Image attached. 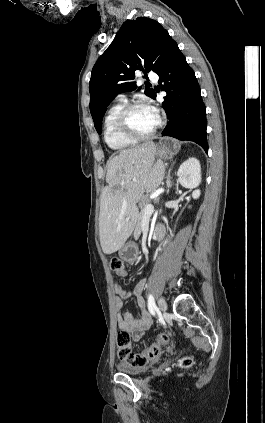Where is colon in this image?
Instances as JSON below:
<instances>
[{
  "label": "colon",
  "instance_id": "1",
  "mask_svg": "<svg viewBox=\"0 0 265 423\" xmlns=\"http://www.w3.org/2000/svg\"><path fill=\"white\" fill-rule=\"evenodd\" d=\"M110 268L114 273H119L124 269V261L121 258L114 257L110 261ZM169 339L170 335L167 333L158 334L148 347L140 352H133L129 333L120 329L117 333L118 357L130 367H143L161 354L162 350L169 344ZM192 362L191 357H183L179 365L182 368H187L191 366Z\"/></svg>",
  "mask_w": 265,
  "mask_h": 423
}]
</instances>
